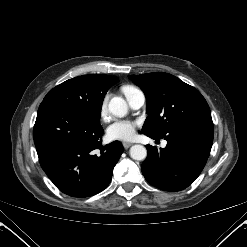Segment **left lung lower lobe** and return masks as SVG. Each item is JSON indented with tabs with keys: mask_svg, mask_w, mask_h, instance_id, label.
I'll return each mask as SVG.
<instances>
[{
	"mask_svg": "<svg viewBox=\"0 0 247 247\" xmlns=\"http://www.w3.org/2000/svg\"><path fill=\"white\" fill-rule=\"evenodd\" d=\"M145 135L167 140L165 148L146 145L148 156L141 166L145 179L162 190L179 191L188 187L206 164L213 142V122H192L162 138Z\"/></svg>",
	"mask_w": 247,
	"mask_h": 247,
	"instance_id": "1",
	"label": "left lung lower lobe"
}]
</instances>
